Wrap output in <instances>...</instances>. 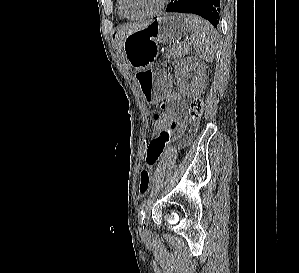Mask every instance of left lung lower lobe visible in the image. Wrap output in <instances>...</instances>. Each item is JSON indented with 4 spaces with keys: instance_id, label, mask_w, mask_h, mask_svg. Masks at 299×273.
Wrapping results in <instances>:
<instances>
[{
    "instance_id": "0a47b994",
    "label": "left lung lower lobe",
    "mask_w": 299,
    "mask_h": 273,
    "mask_svg": "<svg viewBox=\"0 0 299 273\" xmlns=\"http://www.w3.org/2000/svg\"><path fill=\"white\" fill-rule=\"evenodd\" d=\"M166 11L194 13L202 16L217 28L220 15V0H172Z\"/></svg>"
}]
</instances>
